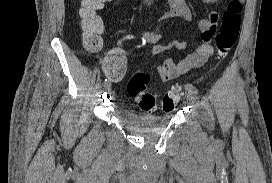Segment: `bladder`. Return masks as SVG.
<instances>
[{"label": "bladder", "instance_id": "obj_1", "mask_svg": "<svg viewBox=\"0 0 272 183\" xmlns=\"http://www.w3.org/2000/svg\"><path fill=\"white\" fill-rule=\"evenodd\" d=\"M172 118L171 114L165 115H151V114H138L132 111H124L121 114V120L130 128L152 132L164 129L168 126Z\"/></svg>", "mask_w": 272, "mask_h": 183}]
</instances>
